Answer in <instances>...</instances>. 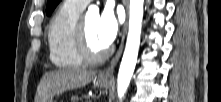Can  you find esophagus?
Returning a JSON list of instances; mask_svg holds the SVG:
<instances>
[{
	"mask_svg": "<svg viewBox=\"0 0 221 102\" xmlns=\"http://www.w3.org/2000/svg\"><path fill=\"white\" fill-rule=\"evenodd\" d=\"M126 8H127V12H128V2L126 3ZM127 33V22L124 26V33H123V38H122V43L115 55V57L112 59L110 65L107 68H104L101 73H100V77L104 78V79H110L113 77V71H114V67L116 66L121 54H122V50H123V43H124V39H125V35Z\"/></svg>",
	"mask_w": 221,
	"mask_h": 102,
	"instance_id": "1",
	"label": "esophagus"
}]
</instances>
